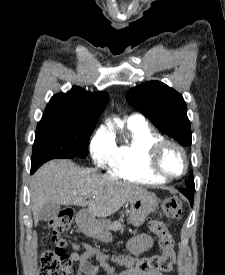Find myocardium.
Here are the masks:
<instances>
[{"mask_svg": "<svg viewBox=\"0 0 225 275\" xmlns=\"http://www.w3.org/2000/svg\"><path fill=\"white\" fill-rule=\"evenodd\" d=\"M170 148L177 150L183 159V169L179 174H171L163 167V157ZM148 165L154 174L159 176L161 179L166 180L177 179L184 176L187 173L189 162L186 151L180 144L170 140H163L151 147L149 151Z\"/></svg>", "mask_w": 225, "mask_h": 275, "instance_id": "myocardium-1", "label": "myocardium"}]
</instances>
